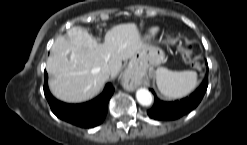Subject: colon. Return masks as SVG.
I'll use <instances>...</instances> for the list:
<instances>
[{
  "mask_svg": "<svg viewBox=\"0 0 247 145\" xmlns=\"http://www.w3.org/2000/svg\"><path fill=\"white\" fill-rule=\"evenodd\" d=\"M179 52L183 58V60L188 63V64H191L195 67L199 66V63L196 62L193 58V55H192V48L191 47H184V46H181L179 48Z\"/></svg>",
  "mask_w": 247,
  "mask_h": 145,
  "instance_id": "colon-1",
  "label": "colon"
}]
</instances>
